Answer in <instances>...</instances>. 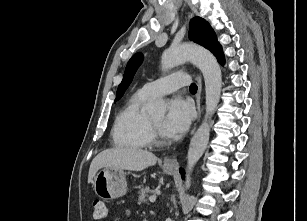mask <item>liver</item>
Returning a JSON list of instances; mask_svg holds the SVG:
<instances>
[{"mask_svg":"<svg viewBox=\"0 0 307 221\" xmlns=\"http://www.w3.org/2000/svg\"><path fill=\"white\" fill-rule=\"evenodd\" d=\"M157 157L146 150L132 147H116L102 151L91 162L88 183L93 181L97 171L101 168L141 171L153 166Z\"/></svg>","mask_w":307,"mask_h":221,"instance_id":"6515ba94","label":"liver"}]
</instances>
